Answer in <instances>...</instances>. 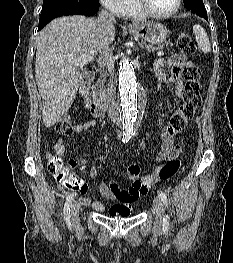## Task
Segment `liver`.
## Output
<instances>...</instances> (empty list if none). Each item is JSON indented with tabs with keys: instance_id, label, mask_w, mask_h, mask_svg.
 Here are the masks:
<instances>
[{
	"instance_id": "obj_1",
	"label": "liver",
	"mask_w": 233,
	"mask_h": 263,
	"mask_svg": "<svg viewBox=\"0 0 233 263\" xmlns=\"http://www.w3.org/2000/svg\"><path fill=\"white\" fill-rule=\"evenodd\" d=\"M115 39V28L80 15L54 19L38 34L35 78L42 97L45 127L53 126L71 107L82 73L75 61L100 56Z\"/></svg>"
}]
</instances>
